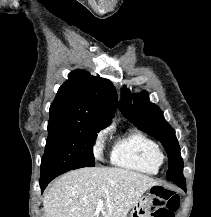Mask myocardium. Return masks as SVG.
<instances>
[{"instance_id":"1","label":"myocardium","mask_w":211,"mask_h":217,"mask_svg":"<svg viewBox=\"0 0 211 217\" xmlns=\"http://www.w3.org/2000/svg\"><path fill=\"white\" fill-rule=\"evenodd\" d=\"M154 159L156 163L160 166L165 162L166 155L161 149H158L154 155Z\"/></svg>"}]
</instances>
